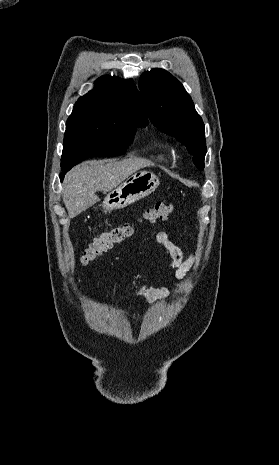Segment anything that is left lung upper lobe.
Returning <instances> with one entry per match:
<instances>
[{
	"instance_id": "obj_1",
	"label": "left lung upper lobe",
	"mask_w": 279,
	"mask_h": 465,
	"mask_svg": "<svg viewBox=\"0 0 279 465\" xmlns=\"http://www.w3.org/2000/svg\"><path fill=\"white\" fill-rule=\"evenodd\" d=\"M139 87L151 122L186 145L197 168L203 170L204 123L182 84L169 72L156 68L142 74Z\"/></svg>"
}]
</instances>
